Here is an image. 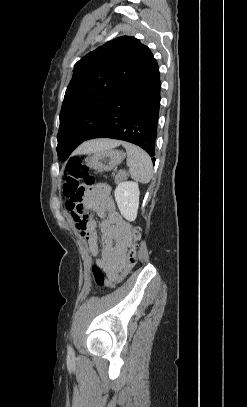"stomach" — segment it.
<instances>
[{
  "instance_id": "obj_1",
  "label": "stomach",
  "mask_w": 247,
  "mask_h": 407,
  "mask_svg": "<svg viewBox=\"0 0 247 407\" xmlns=\"http://www.w3.org/2000/svg\"><path fill=\"white\" fill-rule=\"evenodd\" d=\"M125 154L117 149H104L93 152L85 160L86 165L97 171H111L124 159Z\"/></svg>"
}]
</instances>
